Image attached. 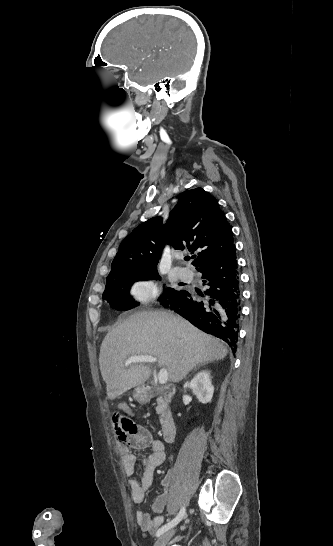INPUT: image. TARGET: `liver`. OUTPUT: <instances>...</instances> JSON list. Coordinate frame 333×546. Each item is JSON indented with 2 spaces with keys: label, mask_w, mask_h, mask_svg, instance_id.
I'll return each instance as SVG.
<instances>
[{
  "label": "liver",
  "mask_w": 333,
  "mask_h": 546,
  "mask_svg": "<svg viewBox=\"0 0 333 546\" xmlns=\"http://www.w3.org/2000/svg\"><path fill=\"white\" fill-rule=\"evenodd\" d=\"M227 348L189 322L166 311L131 315L105 336L99 355L102 378L110 400L143 384L151 374L145 363H131L130 356L151 355L166 367L171 382L182 380L196 365L222 360Z\"/></svg>",
  "instance_id": "6515ba94"
}]
</instances>
